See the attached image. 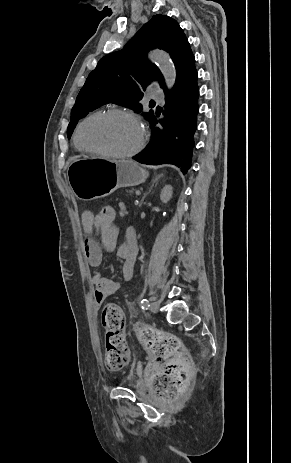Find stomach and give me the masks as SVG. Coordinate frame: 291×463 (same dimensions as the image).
Segmentation results:
<instances>
[{
    "label": "stomach",
    "instance_id": "0dacf381",
    "mask_svg": "<svg viewBox=\"0 0 291 463\" xmlns=\"http://www.w3.org/2000/svg\"><path fill=\"white\" fill-rule=\"evenodd\" d=\"M148 172L129 160H115L100 156L71 158L67 167V180L80 200L105 197L120 187L143 183Z\"/></svg>",
    "mask_w": 291,
    "mask_h": 463
}]
</instances>
